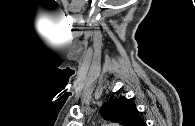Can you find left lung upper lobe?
<instances>
[{
    "label": "left lung upper lobe",
    "instance_id": "1",
    "mask_svg": "<svg viewBox=\"0 0 195 126\" xmlns=\"http://www.w3.org/2000/svg\"><path fill=\"white\" fill-rule=\"evenodd\" d=\"M100 113L105 119L124 126H141L143 123L135 105L125 97L106 102L102 105Z\"/></svg>",
    "mask_w": 195,
    "mask_h": 126
}]
</instances>
